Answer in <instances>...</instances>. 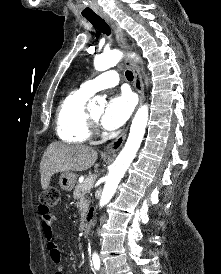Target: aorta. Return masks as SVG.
<instances>
[{
    "label": "aorta",
    "mask_w": 221,
    "mask_h": 274,
    "mask_svg": "<svg viewBox=\"0 0 221 274\" xmlns=\"http://www.w3.org/2000/svg\"><path fill=\"white\" fill-rule=\"evenodd\" d=\"M123 57V54L119 50H113L108 53H103L94 59V67L98 71H105L111 67H114ZM101 97L96 96L90 103L102 102ZM148 106H141L132 121L130 133L127 142L114 161L105 181L104 189L100 199V207L106 205L118 187L121 178L124 176L126 170L130 166V163L134 159L140 144L145 134V128L148 121Z\"/></svg>",
    "instance_id": "762f6f07"
}]
</instances>
